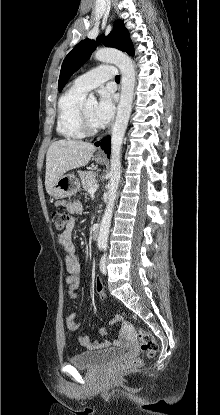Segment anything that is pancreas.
Segmentation results:
<instances>
[{"mask_svg":"<svg viewBox=\"0 0 220 415\" xmlns=\"http://www.w3.org/2000/svg\"><path fill=\"white\" fill-rule=\"evenodd\" d=\"M79 176L81 178L82 186L87 192H89L90 188L94 185H97L96 173L91 171H80Z\"/></svg>","mask_w":220,"mask_h":415,"instance_id":"obj_1","label":"pancreas"}]
</instances>
